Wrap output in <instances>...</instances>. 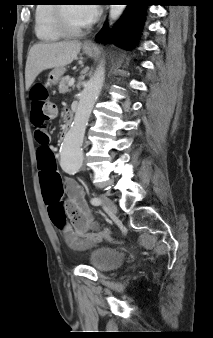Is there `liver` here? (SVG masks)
<instances>
[{
    "mask_svg": "<svg viewBox=\"0 0 213 338\" xmlns=\"http://www.w3.org/2000/svg\"><path fill=\"white\" fill-rule=\"evenodd\" d=\"M81 42L38 43L28 52L25 67V84L28 90L44 70L71 64L81 49Z\"/></svg>",
    "mask_w": 213,
    "mask_h": 338,
    "instance_id": "obj_1",
    "label": "liver"
}]
</instances>
